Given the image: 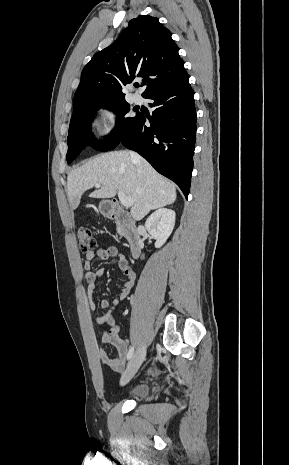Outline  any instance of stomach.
Wrapping results in <instances>:
<instances>
[{"label": "stomach", "instance_id": "obj_1", "mask_svg": "<svg viewBox=\"0 0 289 465\" xmlns=\"http://www.w3.org/2000/svg\"><path fill=\"white\" fill-rule=\"evenodd\" d=\"M99 210L101 213L106 214L109 212V208L107 207V201H101L99 204Z\"/></svg>", "mask_w": 289, "mask_h": 465}]
</instances>
